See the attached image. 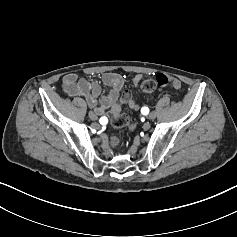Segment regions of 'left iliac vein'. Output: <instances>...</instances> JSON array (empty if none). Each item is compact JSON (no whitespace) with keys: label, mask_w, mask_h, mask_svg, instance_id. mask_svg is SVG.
Segmentation results:
<instances>
[{"label":"left iliac vein","mask_w":237,"mask_h":237,"mask_svg":"<svg viewBox=\"0 0 237 237\" xmlns=\"http://www.w3.org/2000/svg\"><path fill=\"white\" fill-rule=\"evenodd\" d=\"M148 118L153 120L156 118V113L155 112H151L149 115H148Z\"/></svg>","instance_id":"obj_1"}]
</instances>
